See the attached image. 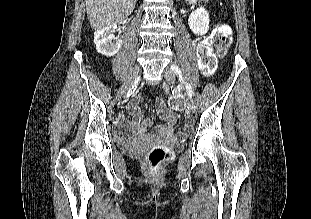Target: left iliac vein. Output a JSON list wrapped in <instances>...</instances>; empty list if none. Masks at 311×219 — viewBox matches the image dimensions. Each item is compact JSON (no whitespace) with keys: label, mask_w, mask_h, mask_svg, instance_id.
Listing matches in <instances>:
<instances>
[{"label":"left iliac vein","mask_w":311,"mask_h":219,"mask_svg":"<svg viewBox=\"0 0 311 219\" xmlns=\"http://www.w3.org/2000/svg\"><path fill=\"white\" fill-rule=\"evenodd\" d=\"M163 76H164V78H165V80L169 86H172L174 84L175 75L169 67H166L164 69ZM186 102H187V106H188L189 110L191 112H195V104H194L193 100L190 97H187Z\"/></svg>","instance_id":"1"}]
</instances>
